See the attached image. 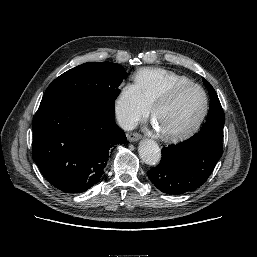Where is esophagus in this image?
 <instances>
[{
  "instance_id": "1",
  "label": "esophagus",
  "mask_w": 257,
  "mask_h": 257,
  "mask_svg": "<svg viewBox=\"0 0 257 257\" xmlns=\"http://www.w3.org/2000/svg\"><path fill=\"white\" fill-rule=\"evenodd\" d=\"M140 138H141V135L138 134V133H129V134H127V139H128L130 142H136V141H138Z\"/></svg>"
}]
</instances>
